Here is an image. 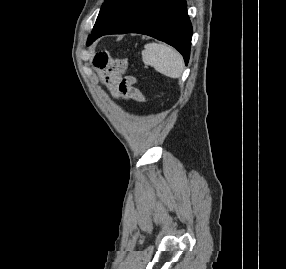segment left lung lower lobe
<instances>
[{
	"label": "left lung lower lobe",
	"mask_w": 286,
	"mask_h": 269,
	"mask_svg": "<svg viewBox=\"0 0 286 269\" xmlns=\"http://www.w3.org/2000/svg\"><path fill=\"white\" fill-rule=\"evenodd\" d=\"M141 33L175 47L188 63L192 25L185 0H143L111 27L98 32L96 38L106 34Z\"/></svg>",
	"instance_id": "1"
}]
</instances>
